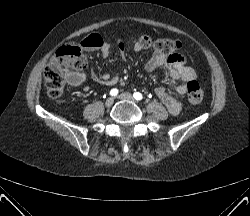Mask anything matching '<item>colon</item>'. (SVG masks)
I'll use <instances>...</instances> for the list:
<instances>
[{
	"instance_id": "5ec220e1",
	"label": "colon",
	"mask_w": 250,
	"mask_h": 216,
	"mask_svg": "<svg viewBox=\"0 0 250 216\" xmlns=\"http://www.w3.org/2000/svg\"><path fill=\"white\" fill-rule=\"evenodd\" d=\"M142 48H152L155 51L172 54L181 48V42L171 38L152 39L142 35L137 40ZM86 66L85 58L81 49L76 45H65L59 48L51 58L44 71V81L48 95L58 98L62 95L66 81ZM188 101L198 105L203 100V90L199 83L190 80L186 86Z\"/></svg>"
}]
</instances>
